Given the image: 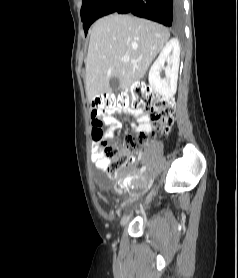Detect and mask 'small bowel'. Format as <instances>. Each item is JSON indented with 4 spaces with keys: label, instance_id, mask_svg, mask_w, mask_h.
<instances>
[{
    "label": "small bowel",
    "instance_id": "small-bowel-1",
    "mask_svg": "<svg viewBox=\"0 0 238 278\" xmlns=\"http://www.w3.org/2000/svg\"><path fill=\"white\" fill-rule=\"evenodd\" d=\"M127 113L134 115L138 120V124H131V127L134 131L147 133L151 130L150 117L148 114L142 112H134L132 110H128ZM122 114L123 113L121 110L115 108L112 110H107L103 112L101 115L102 124L110 127L113 130V132L103 134L101 140L93 139L95 144L92 149V160L96 168L98 169L104 170L106 163V160L103 155V150L99 146V142H109V140L113 138L114 131L118 130L122 125L121 120L118 119L117 116H122ZM125 186L126 183L123 180H120L116 186V190L118 192L122 191L125 188Z\"/></svg>",
    "mask_w": 238,
    "mask_h": 278
}]
</instances>
